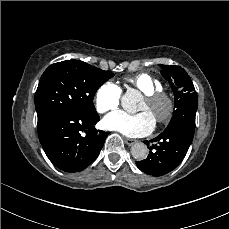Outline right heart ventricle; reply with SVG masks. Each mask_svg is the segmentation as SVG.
Here are the masks:
<instances>
[{
    "label": "right heart ventricle",
    "instance_id": "obj_1",
    "mask_svg": "<svg viewBox=\"0 0 229 229\" xmlns=\"http://www.w3.org/2000/svg\"><path fill=\"white\" fill-rule=\"evenodd\" d=\"M125 81L135 89L142 93H148L163 88L162 82L157 77L149 73H138L133 76H128Z\"/></svg>",
    "mask_w": 229,
    "mask_h": 229
}]
</instances>
